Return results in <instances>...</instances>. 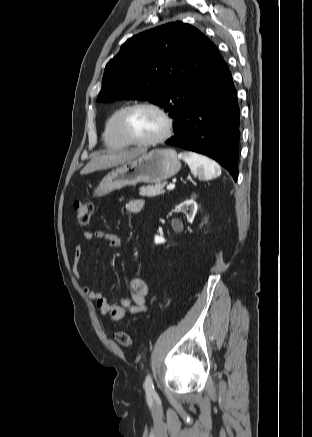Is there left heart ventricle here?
Returning a JSON list of instances; mask_svg holds the SVG:
<instances>
[{"label": "left heart ventricle", "mask_w": 312, "mask_h": 437, "mask_svg": "<svg viewBox=\"0 0 312 437\" xmlns=\"http://www.w3.org/2000/svg\"><path fill=\"white\" fill-rule=\"evenodd\" d=\"M128 128L139 140H150L162 134L165 123L162 117L149 108L135 110L128 120Z\"/></svg>", "instance_id": "obj_1"}]
</instances>
